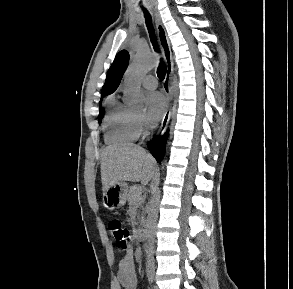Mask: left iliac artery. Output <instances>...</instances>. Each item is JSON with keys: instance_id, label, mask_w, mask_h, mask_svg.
I'll use <instances>...</instances> for the list:
<instances>
[{"instance_id": "obj_1", "label": "left iliac artery", "mask_w": 293, "mask_h": 289, "mask_svg": "<svg viewBox=\"0 0 293 289\" xmlns=\"http://www.w3.org/2000/svg\"><path fill=\"white\" fill-rule=\"evenodd\" d=\"M147 276L150 282H153L155 276V263L153 258L147 261Z\"/></svg>"}]
</instances>
